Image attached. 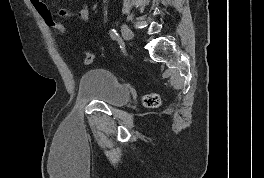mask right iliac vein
I'll list each match as a JSON object with an SVG mask.
<instances>
[{"instance_id": "63e3f726", "label": "right iliac vein", "mask_w": 264, "mask_h": 178, "mask_svg": "<svg viewBox=\"0 0 264 178\" xmlns=\"http://www.w3.org/2000/svg\"><path fill=\"white\" fill-rule=\"evenodd\" d=\"M121 32L125 40L129 41L133 39V33L126 24L121 26Z\"/></svg>"}]
</instances>
